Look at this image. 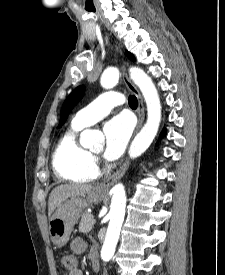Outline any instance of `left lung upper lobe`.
I'll use <instances>...</instances> for the list:
<instances>
[{
    "mask_svg": "<svg viewBox=\"0 0 225 275\" xmlns=\"http://www.w3.org/2000/svg\"><path fill=\"white\" fill-rule=\"evenodd\" d=\"M126 54L129 58L135 60L134 56L131 53L126 52ZM83 93L84 86H79L74 91H72V93L66 98L61 110L59 127H61L65 123L69 113L71 112L73 107L80 101V99L83 96Z\"/></svg>",
    "mask_w": 225,
    "mask_h": 275,
    "instance_id": "1",
    "label": "left lung upper lobe"
}]
</instances>
